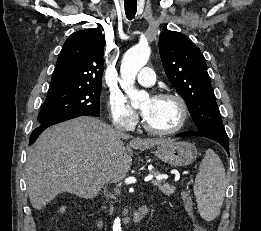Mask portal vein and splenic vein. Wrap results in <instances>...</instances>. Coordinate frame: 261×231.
I'll return each instance as SVG.
<instances>
[{
	"label": "portal vein and splenic vein",
	"mask_w": 261,
	"mask_h": 231,
	"mask_svg": "<svg viewBox=\"0 0 261 231\" xmlns=\"http://www.w3.org/2000/svg\"><path fill=\"white\" fill-rule=\"evenodd\" d=\"M153 179V176L152 175H149L147 178H146V181L148 180H152ZM161 179V177H156V180H153L152 183L153 184H156V181H159Z\"/></svg>",
	"instance_id": "portal-vein-and-splenic-vein-1"
}]
</instances>
